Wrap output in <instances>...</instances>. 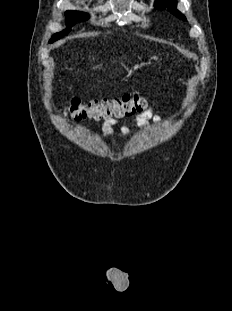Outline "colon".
Listing matches in <instances>:
<instances>
[{
  "label": "colon",
  "mask_w": 232,
  "mask_h": 311,
  "mask_svg": "<svg viewBox=\"0 0 232 311\" xmlns=\"http://www.w3.org/2000/svg\"><path fill=\"white\" fill-rule=\"evenodd\" d=\"M147 107V99L140 93H127L112 100H91L87 103L73 99L65 114L73 120L92 119L112 121L133 116Z\"/></svg>",
  "instance_id": "5ec220e1"
}]
</instances>
